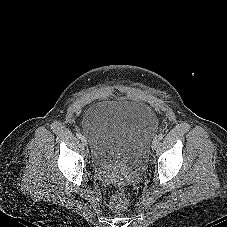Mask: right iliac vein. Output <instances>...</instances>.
I'll list each match as a JSON object with an SVG mask.
<instances>
[{"instance_id": "1", "label": "right iliac vein", "mask_w": 227, "mask_h": 227, "mask_svg": "<svg viewBox=\"0 0 227 227\" xmlns=\"http://www.w3.org/2000/svg\"><path fill=\"white\" fill-rule=\"evenodd\" d=\"M81 142H82V144H83L84 146L87 145V139H86L85 137H82V138H81Z\"/></svg>"}]
</instances>
